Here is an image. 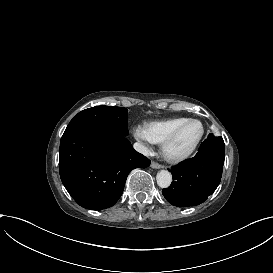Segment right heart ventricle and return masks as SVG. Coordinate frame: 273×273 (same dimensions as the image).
I'll use <instances>...</instances> for the list:
<instances>
[{
	"label": "right heart ventricle",
	"instance_id": "e07e8e85",
	"mask_svg": "<svg viewBox=\"0 0 273 273\" xmlns=\"http://www.w3.org/2000/svg\"><path fill=\"white\" fill-rule=\"evenodd\" d=\"M189 117H175L166 120L153 121L146 125L145 133L150 142L162 144L171 132Z\"/></svg>",
	"mask_w": 273,
	"mask_h": 273
}]
</instances>
